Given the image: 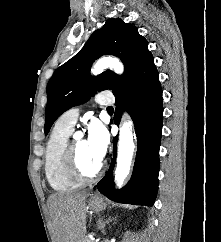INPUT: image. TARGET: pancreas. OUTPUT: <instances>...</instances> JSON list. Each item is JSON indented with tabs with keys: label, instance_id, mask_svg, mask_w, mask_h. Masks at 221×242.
I'll use <instances>...</instances> for the list:
<instances>
[{
	"label": "pancreas",
	"instance_id": "obj_1",
	"mask_svg": "<svg viewBox=\"0 0 221 242\" xmlns=\"http://www.w3.org/2000/svg\"><path fill=\"white\" fill-rule=\"evenodd\" d=\"M83 242H93V241L90 239V237H85Z\"/></svg>",
	"mask_w": 221,
	"mask_h": 242
}]
</instances>
